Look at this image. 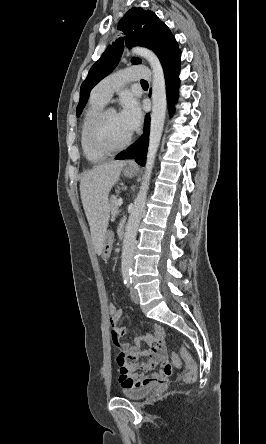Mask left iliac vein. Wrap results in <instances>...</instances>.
Segmentation results:
<instances>
[{
	"label": "left iliac vein",
	"instance_id": "4c4485c4",
	"mask_svg": "<svg viewBox=\"0 0 266 444\" xmlns=\"http://www.w3.org/2000/svg\"><path fill=\"white\" fill-rule=\"evenodd\" d=\"M130 292H131V299H132V301L135 304H138L139 301H140L138 291L135 288L131 287Z\"/></svg>",
	"mask_w": 266,
	"mask_h": 444
}]
</instances>
